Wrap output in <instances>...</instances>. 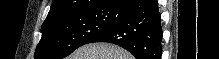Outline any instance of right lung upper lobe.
<instances>
[{"label":"right lung upper lobe","mask_w":219,"mask_h":59,"mask_svg":"<svg viewBox=\"0 0 219 59\" xmlns=\"http://www.w3.org/2000/svg\"><path fill=\"white\" fill-rule=\"evenodd\" d=\"M121 0H53L45 22L52 19L78 15L96 10H104L115 7Z\"/></svg>","instance_id":"1"}]
</instances>
